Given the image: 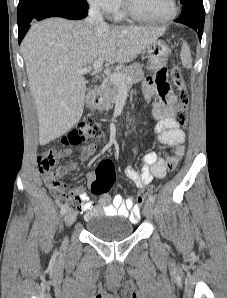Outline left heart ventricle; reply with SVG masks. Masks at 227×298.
Instances as JSON below:
<instances>
[{
    "mask_svg": "<svg viewBox=\"0 0 227 298\" xmlns=\"http://www.w3.org/2000/svg\"><path fill=\"white\" fill-rule=\"evenodd\" d=\"M139 14L151 18H161L171 11V0H127Z\"/></svg>",
    "mask_w": 227,
    "mask_h": 298,
    "instance_id": "obj_1",
    "label": "left heart ventricle"
}]
</instances>
